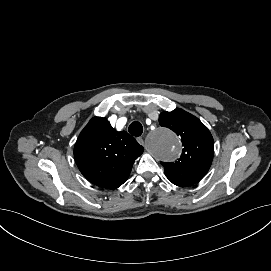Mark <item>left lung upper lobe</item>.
Wrapping results in <instances>:
<instances>
[{"label": "left lung upper lobe", "mask_w": 271, "mask_h": 271, "mask_svg": "<svg viewBox=\"0 0 271 271\" xmlns=\"http://www.w3.org/2000/svg\"><path fill=\"white\" fill-rule=\"evenodd\" d=\"M159 124L180 136L184 147L177 161L161 162L168 180L182 187L199 182L213 159L214 140L210 131L198 118L180 108L161 113Z\"/></svg>", "instance_id": "obj_1"}]
</instances>
